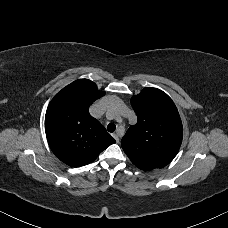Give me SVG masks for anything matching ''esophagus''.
Returning a JSON list of instances; mask_svg holds the SVG:
<instances>
[{"mask_svg": "<svg viewBox=\"0 0 228 228\" xmlns=\"http://www.w3.org/2000/svg\"><path fill=\"white\" fill-rule=\"evenodd\" d=\"M113 137L115 138V140L117 142H119V134H118V131L116 133L113 134Z\"/></svg>", "mask_w": 228, "mask_h": 228, "instance_id": "34e87169", "label": "esophagus"}]
</instances>
